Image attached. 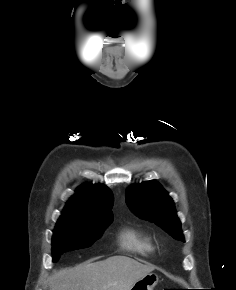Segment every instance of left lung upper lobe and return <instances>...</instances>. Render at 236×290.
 <instances>
[{
	"label": "left lung upper lobe",
	"mask_w": 236,
	"mask_h": 290,
	"mask_svg": "<svg viewBox=\"0 0 236 290\" xmlns=\"http://www.w3.org/2000/svg\"><path fill=\"white\" fill-rule=\"evenodd\" d=\"M126 202L136 215L155 222L175 239L184 241L174 202L159 183L147 181L130 186Z\"/></svg>",
	"instance_id": "5c2ea615"
}]
</instances>
